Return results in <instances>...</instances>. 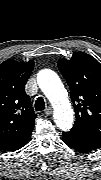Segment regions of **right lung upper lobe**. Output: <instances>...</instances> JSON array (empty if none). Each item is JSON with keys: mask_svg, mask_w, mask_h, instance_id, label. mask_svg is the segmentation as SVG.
Wrapping results in <instances>:
<instances>
[{"mask_svg": "<svg viewBox=\"0 0 101 180\" xmlns=\"http://www.w3.org/2000/svg\"><path fill=\"white\" fill-rule=\"evenodd\" d=\"M34 62H15L8 59L0 65V148L14 151L30 138L36 114L25 84Z\"/></svg>", "mask_w": 101, "mask_h": 180, "instance_id": "obj_1", "label": "right lung upper lobe"}]
</instances>
